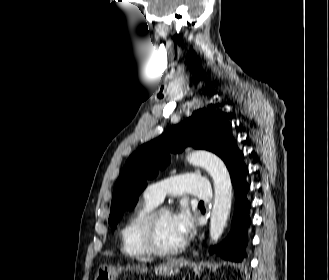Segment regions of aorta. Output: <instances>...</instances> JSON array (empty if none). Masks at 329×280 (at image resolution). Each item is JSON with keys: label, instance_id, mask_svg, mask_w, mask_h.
Wrapping results in <instances>:
<instances>
[{"label": "aorta", "instance_id": "aorta-1", "mask_svg": "<svg viewBox=\"0 0 329 280\" xmlns=\"http://www.w3.org/2000/svg\"><path fill=\"white\" fill-rule=\"evenodd\" d=\"M187 160L192 165L203 167L214 182V203L210 219V239L215 244L223 234L231 210L232 183L224 162L205 151L192 152Z\"/></svg>", "mask_w": 329, "mask_h": 280}]
</instances>
